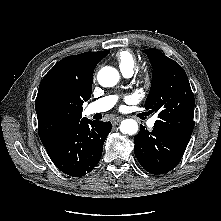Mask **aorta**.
Wrapping results in <instances>:
<instances>
[{
	"label": "aorta",
	"mask_w": 221,
	"mask_h": 221,
	"mask_svg": "<svg viewBox=\"0 0 221 221\" xmlns=\"http://www.w3.org/2000/svg\"><path fill=\"white\" fill-rule=\"evenodd\" d=\"M119 79V72L110 66L101 68L97 75V80L103 87H113ZM120 131L123 134L133 135L138 131V124L134 119H125L120 124Z\"/></svg>",
	"instance_id": "762f6f07"
}]
</instances>
